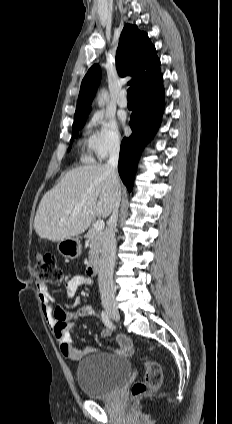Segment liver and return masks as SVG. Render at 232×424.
Here are the masks:
<instances>
[{
  "label": "liver",
  "mask_w": 232,
  "mask_h": 424,
  "mask_svg": "<svg viewBox=\"0 0 232 424\" xmlns=\"http://www.w3.org/2000/svg\"><path fill=\"white\" fill-rule=\"evenodd\" d=\"M114 191L105 165L70 170L41 199L34 219L36 233L52 242L80 235L96 216L107 218L112 213Z\"/></svg>",
  "instance_id": "6515ba94"
}]
</instances>
